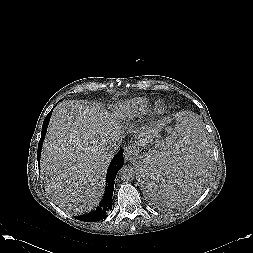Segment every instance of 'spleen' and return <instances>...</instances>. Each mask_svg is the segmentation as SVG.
<instances>
[{
    "label": "spleen",
    "instance_id": "spleen-1",
    "mask_svg": "<svg viewBox=\"0 0 253 253\" xmlns=\"http://www.w3.org/2000/svg\"><path fill=\"white\" fill-rule=\"evenodd\" d=\"M208 127L198 113L185 111L171 121L157 148V161L147 171L146 187L158 201L179 203L193 197L209 164Z\"/></svg>",
    "mask_w": 253,
    "mask_h": 253
}]
</instances>
